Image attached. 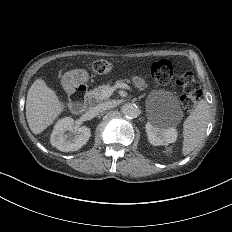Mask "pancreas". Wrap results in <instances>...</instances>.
I'll use <instances>...</instances> for the list:
<instances>
[{
    "label": "pancreas",
    "mask_w": 232,
    "mask_h": 232,
    "mask_svg": "<svg viewBox=\"0 0 232 232\" xmlns=\"http://www.w3.org/2000/svg\"><path fill=\"white\" fill-rule=\"evenodd\" d=\"M121 83H128L130 84L131 83V80L130 79H118L115 84H121ZM111 88V85L110 83H106V84H103V85H100L99 87L93 89V90H90L88 92V95L94 99L96 102H100L102 100H104L103 98V91L106 90V89H109Z\"/></svg>",
    "instance_id": "1"
}]
</instances>
